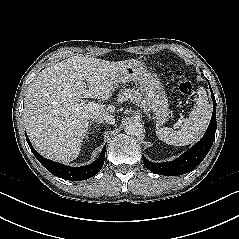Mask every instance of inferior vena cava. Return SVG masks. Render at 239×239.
<instances>
[{"instance_id": "obj_1", "label": "inferior vena cava", "mask_w": 239, "mask_h": 239, "mask_svg": "<svg viewBox=\"0 0 239 239\" xmlns=\"http://www.w3.org/2000/svg\"><path fill=\"white\" fill-rule=\"evenodd\" d=\"M95 121L100 122H106L108 124H114L115 123V117L111 114H105V115H95L92 117Z\"/></svg>"}]
</instances>
